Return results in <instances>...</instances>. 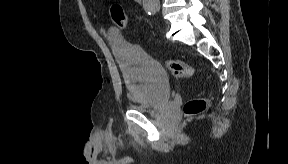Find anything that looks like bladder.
<instances>
[{"mask_svg": "<svg viewBox=\"0 0 288 164\" xmlns=\"http://www.w3.org/2000/svg\"><path fill=\"white\" fill-rule=\"evenodd\" d=\"M109 42L122 68L131 108L151 114L165 107L171 99V87L163 67L117 34H111Z\"/></svg>", "mask_w": 288, "mask_h": 164, "instance_id": "1", "label": "bladder"}]
</instances>
